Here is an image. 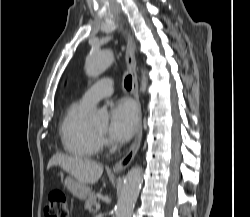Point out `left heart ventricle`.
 <instances>
[{"mask_svg": "<svg viewBox=\"0 0 250 217\" xmlns=\"http://www.w3.org/2000/svg\"><path fill=\"white\" fill-rule=\"evenodd\" d=\"M93 128H94L97 132H99V133H101V134H105L106 131H107V124L104 123V124H101V125H94Z\"/></svg>", "mask_w": 250, "mask_h": 217, "instance_id": "1", "label": "left heart ventricle"}]
</instances>
